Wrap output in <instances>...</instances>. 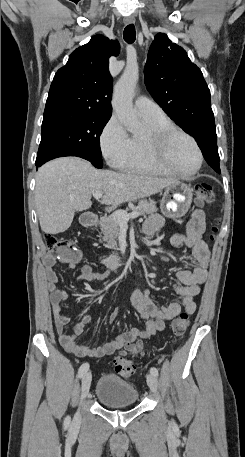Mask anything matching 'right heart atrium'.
<instances>
[{
	"instance_id": "obj_1",
	"label": "right heart atrium",
	"mask_w": 245,
	"mask_h": 457,
	"mask_svg": "<svg viewBox=\"0 0 245 457\" xmlns=\"http://www.w3.org/2000/svg\"><path fill=\"white\" fill-rule=\"evenodd\" d=\"M131 138L115 115H112L100 134V144L104 156L111 162H117L129 150Z\"/></svg>"
}]
</instances>
